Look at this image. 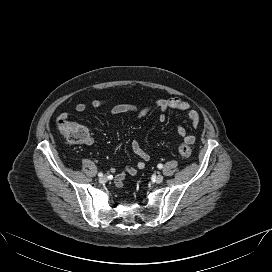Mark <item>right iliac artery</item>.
Wrapping results in <instances>:
<instances>
[{"mask_svg":"<svg viewBox=\"0 0 272 272\" xmlns=\"http://www.w3.org/2000/svg\"><path fill=\"white\" fill-rule=\"evenodd\" d=\"M98 176H99V177H102V176H103V174L100 172V173H98Z\"/></svg>","mask_w":272,"mask_h":272,"instance_id":"obj_1","label":"right iliac artery"}]
</instances>
